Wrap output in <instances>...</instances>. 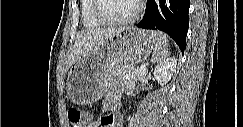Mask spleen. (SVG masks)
<instances>
[{
    "mask_svg": "<svg viewBox=\"0 0 243 127\" xmlns=\"http://www.w3.org/2000/svg\"><path fill=\"white\" fill-rule=\"evenodd\" d=\"M152 37L155 42L152 60L154 63L158 64L161 63L167 57L168 40L166 38V35L162 33H154Z\"/></svg>",
    "mask_w": 243,
    "mask_h": 127,
    "instance_id": "1",
    "label": "spleen"
}]
</instances>
